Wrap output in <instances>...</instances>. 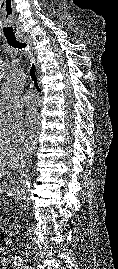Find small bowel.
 I'll return each mask as SVG.
<instances>
[{
	"instance_id": "small-bowel-1",
	"label": "small bowel",
	"mask_w": 118,
	"mask_h": 269,
	"mask_svg": "<svg viewBox=\"0 0 118 269\" xmlns=\"http://www.w3.org/2000/svg\"><path fill=\"white\" fill-rule=\"evenodd\" d=\"M6 263H7V260H6V259H3V260H2V264H3V265H6ZM0 269H1V268H0Z\"/></svg>"
}]
</instances>
